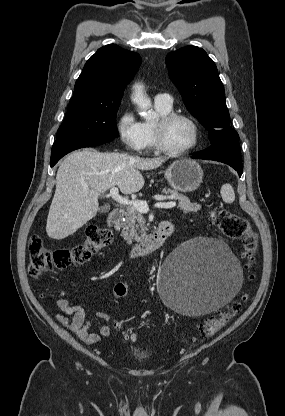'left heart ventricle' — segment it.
I'll return each instance as SVG.
<instances>
[{
  "instance_id": "obj_1",
  "label": "left heart ventricle",
  "mask_w": 285,
  "mask_h": 416,
  "mask_svg": "<svg viewBox=\"0 0 285 416\" xmlns=\"http://www.w3.org/2000/svg\"><path fill=\"white\" fill-rule=\"evenodd\" d=\"M193 129L184 119H176L165 130L164 140L166 145L175 151L188 148L193 142Z\"/></svg>"
}]
</instances>
